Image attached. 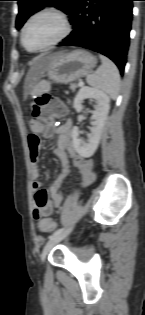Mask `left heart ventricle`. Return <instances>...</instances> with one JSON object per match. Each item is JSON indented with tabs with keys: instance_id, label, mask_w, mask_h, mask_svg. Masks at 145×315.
Returning <instances> with one entry per match:
<instances>
[{
	"instance_id": "left-heart-ventricle-1",
	"label": "left heart ventricle",
	"mask_w": 145,
	"mask_h": 315,
	"mask_svg": "<svg viewBox=\"0 0 145 315\" xmlns=\"http://www.w3.org/2000/svg\"><path fill=\"white\" fill-rule=\"evenodd\" d=\"M61 31L59 21L51 16L33 19L25 32V42L30 48L41 47L52 41Z\"/></svg>"
}]
</instances>
